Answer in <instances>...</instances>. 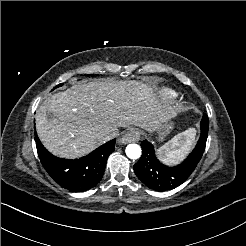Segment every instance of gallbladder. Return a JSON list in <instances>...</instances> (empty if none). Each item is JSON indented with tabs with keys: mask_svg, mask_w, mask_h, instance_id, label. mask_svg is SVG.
Here are the masks:
<instances>
[{
	"mask_svg": "<svg viewBox=\"0 0 246 246\" xmlns=\"http://www.w3.org/2000/svg\"><path fill=\"white\" fill-rule=\"evenodd\" d=\"M53 117V114L52 113H48V118H52Z\"/></svg>",
	"mask_w": 246,
	"mask_h": 246,
	"instance_id": "gallbladder-1",
	"label": "gallbladder"
}]
</instances>
